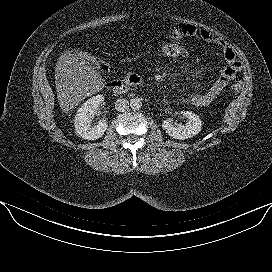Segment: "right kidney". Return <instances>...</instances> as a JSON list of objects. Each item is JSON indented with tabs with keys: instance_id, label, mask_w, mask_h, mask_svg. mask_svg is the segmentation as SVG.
I'll return each mask as SVG.
<instances>
[{
	"instance_id": "ca27d5eb",
	"label": "right kidney",
	"mask_w": 272,
	"mask_h": 272,
	"mask_svg": "<svg viewBox=\"0 0 272 272\" xmlns=\"http://www.w3.org/2000/svg\"><path fill=\"white\" fill-rule=\"evenodd\" d=\"M104 103L103 95L89 98L78 109L74 119L75 133L86 140H96L102 137L107 130L106 120H100L97 125H92V120L98 111V107Z\"/></svg>"
}]
</instances>
